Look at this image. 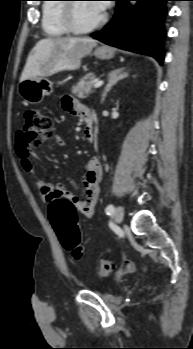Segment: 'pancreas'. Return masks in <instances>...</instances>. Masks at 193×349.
Returning a JSON list of instances; mask_svg holds the SVG:
<instances>
[{
  "instance_id": "1",
  "label": "pancreas",
  "mask_w": 193,
  "mask_h": 349,
  "mask_svg": "<svg viewBox=\"0 0 193 349\" xmlns=\"http://www.w3.org/2000/svg\"><path fill=\"white\" fill-rule=\"evenodd\" d=\"M96 76L93 73L86 74L79 82L72 87V94L79 98H86L92 93Z\"/></svg>"
}]
</instances>
